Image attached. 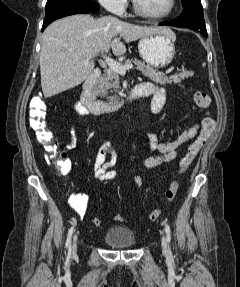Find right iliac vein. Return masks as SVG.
Wrapping results in <instances>:
<instances>
[{
  "mask_svg": "<svg viewBox=\"0 0 240 287\" xmlns=\"http://www.w3.org/2000/svg\"><path fill=\"white\" fill-rule=\"evenodd\" d=\"M76 248H77V235L75 234L73 236V247H72V253L75 254L76 253Z\"/></svg>",
  "mask_w": 240,
  "mask_h": 287,
  "instance_id": "63e3f726",
  "label": "right iliac vein"
}]
</instances>
